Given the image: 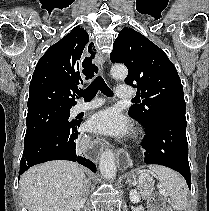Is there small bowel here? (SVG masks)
Segmentation results:
<instances>
[{"instance_id": "obj_1", "label": "small bowel", "mask_w": 209, "mask_h": 211, "mask_svg": "<svg viewBox=\"0 0 209 211\" xmlns=\"http://www.w3.org/2000/svg\"><path fill=\"white\" fill-rule=\"evenodd\" d=\"M148 211H166L164 209V202L158 195H154L148 205Z\"/></svg>"}]
</instances>
